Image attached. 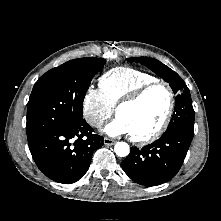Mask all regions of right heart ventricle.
Wrapping results in <instances>:
<instances>
[{
  "label": "right heart ventricle",
  "instance_id": "e07e8e85",
  "mask_svg": "<svg viewBox=\"0 0 221 221\" xmlns=\"http://www.w3.org/2000/svg\"><path fill=\"white\" fill-rule=\"evenodd\" d=\"M156 78L144 71L127 67H115L99 78V88L108 103L114 108L117 103L145 83Z\"/></svg>",
  "mask_w": 221,
  "mask_h": 221
}]
</instances>
